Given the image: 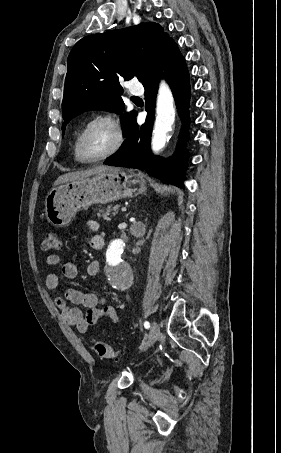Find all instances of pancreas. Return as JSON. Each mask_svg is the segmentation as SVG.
Here are the masks:
<instances>
[{"label": "pancreas", "mask_w": 281, "mask_h": 453, "mask_svg": "<svg viewBox=\"0 0 281 453\" xmlns=\"http://www.w3.org/2000/svg\"><path fill=\"white\" fill-rule=\"evenodd\" d=\"M120 204H116V206H113L111 208L110 204L107 206V208H98L99 212H96L97 216H103L105 220H111L110 216H115V214H118V208Z\"/></svg>", "instance_id": "cf45deb5"}]
</instances>
